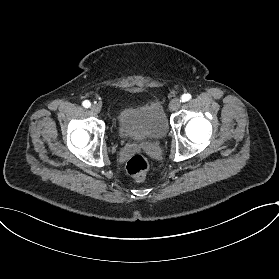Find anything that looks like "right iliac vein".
<instances>
[{"label":"right iliac vein","mask_w":279,"mask_h":279,"mask_svg":"<svg viewBox=\"0 0 279 279\" xmlns=\"http://www.w3.org/2000/svg\"><path fill=\"white\" fill-rule=\"evenodd\" d=\"M90 112L92 114H99L101 112V106L99 104H92L91 107H90Z\"/></svg>","instance_id":"right-iliac-vein-1"}]
</instances>
